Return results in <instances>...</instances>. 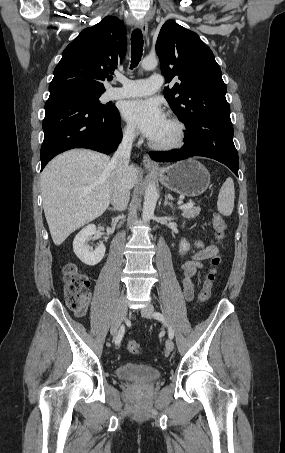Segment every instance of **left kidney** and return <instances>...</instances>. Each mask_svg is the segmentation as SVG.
Listing matches in <instances>:
<instances>
[{
	"label": "left kidney",
	"mask_w": 285,
	"mask_h": 453,
	"mask_svg": "<svg viewBox=\"0 0 285 453\" xmlns=\"http://www.w3.org/2000/svg\"><path fill=\"white\" fill-rule=\"evenodd\" d=\"M189 247H190V244L185 239H182L179 244V252L181 254H184L189 250Z\"/></svg>",
	"instance_id": "obj_1"
}]
</instances>
